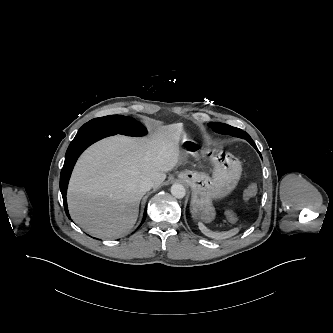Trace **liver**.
Returning a JSON list of instances; mask_svg holds the SVG:
<instances>
[{
	"label": "liver",
	"instance_id": "liver-1",
	"mask_svg": "<svg viewBox=\"0 0 333 333\" xmlns=\"http://www.w3.org/2000/svg\"><path fill=\"white\" fill-rule=\"evenodd\" d=\"M183 125L170 124L149 137L117 135L88 148L73 170L67 202L71 218L99 237H121L136 223L144 193L139 182L159 186L180 161Z\"/></svg>",
	"mask_w": 333,
	"mask_h": 333
}]
</instances>
